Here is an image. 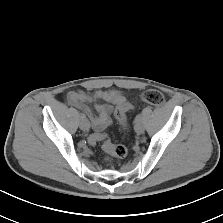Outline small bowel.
<instances>
[{
    "instance_id": "obj_1",
    "label": "small bowel",
    "mask_w": 223,
    "mask_h": 223,
    "mask_svg": "<svg viewBox=\"0 0 223 223\" xmlns=\"http://www.w3.org/2000/svg\"><path fill=\"white\" fill-rule=\"evenodd\" d=\"M99 100H105L110 104H96V114H93L86 104ZM67 101L70 105L81 109L89 117L95 131H103L111 124L110 114L113 110V105H122L125 102V97L115 89L97 90L93 93L71 91L67 94Z\"/></svg>"
}]
</instances>
